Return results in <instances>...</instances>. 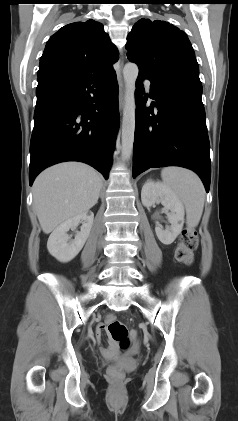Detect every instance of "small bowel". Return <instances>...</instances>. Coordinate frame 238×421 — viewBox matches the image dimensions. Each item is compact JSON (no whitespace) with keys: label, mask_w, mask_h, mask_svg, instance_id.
<instances>
[{"label":"small bowel","mask_w":238,"mask_h":421,"mask_svg":"<svg viewBox=\"0 0 238 421\" xmlns=\"http://www.w3.org/2000/svg\"><path fill=\"white\" fill-rule=\"evenodd\" d=\"M104 326H105V324H100V325L97 327V330H96L97 337H100V336H101L103 329H105V327H104Z\"/></svg>","instance_id":"small-bowel-1"}]
</instances>
